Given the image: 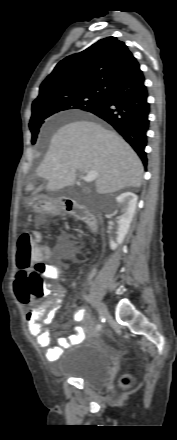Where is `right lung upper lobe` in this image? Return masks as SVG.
I'll return each mask as SVG.
<instances>
[{
	"label": "right lung upper lobe",
	"mask_w": 177,
	"mask_h": 440,
	"mask_svg": "<svg viewBox=\"0 0 177 440\" xmlns=\"http://www.w3.org/2000/svg\"><path fill=\"white\" fill-rule=\"evenodd\" d=\"M139 70V63L124 42L116 37L101 39L60 61L41 84L32 108L66 94L104 95Z\"/></svg>",
	"instance_id": "1"
}]
</instances>
